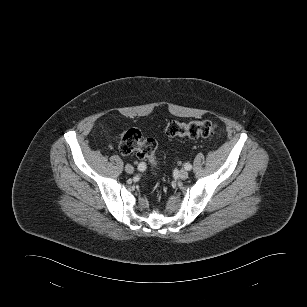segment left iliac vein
<instances>
[{
    "label": "left iliac vein",
    "instance_id": "left-iliac-vein-1",
    "mask_svg": "<svg viewBox=\"0 0 307 307\" xmlns=\"http://www.w3.org/2000/svg\"><path fill=\"white\" fill-rule=\"evenodd\" d=\"M178 176H179L180 179L185 180V179L188 178L189 173H188V171L186 169H181L179 171V175Z\"/></svg>",
    "mask_w": 307,
    "mask_h": 307
}]
</instances>
